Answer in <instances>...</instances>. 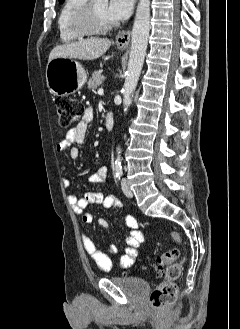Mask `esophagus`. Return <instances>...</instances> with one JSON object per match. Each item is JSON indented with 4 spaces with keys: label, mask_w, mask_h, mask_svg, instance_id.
Here are the masks:
<instances>
[{
    "label": "esophagus",
    "mask_w": 240,
    "mask_h": 329,
    "mask_svg": "<svg viewBox=\"0 0 240 329\" xmlns=\"http://www.w3.org/2000/svg\"><path fill=\"white\" fill-rule=\"evenodd\" d=\"M129 41H130V31L119 32L115 40L116 45L121 48L128 46Z\"/></svg>",
    "instance_id": "obj_1"
}]
</instances>
